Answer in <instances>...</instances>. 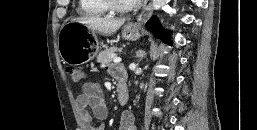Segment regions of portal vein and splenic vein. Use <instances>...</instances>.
I'll list each match as a JSON object with an SVG mask.
<instances>
[{
  "label": "portal vein and splenic vein",
  "mask_w": 257,
  "mask_h": 130,
  "mask_svg": "<svg viewBox=\"0 0 257 130\" xmlns=\"http://www.w3.org/2000/svg\"><path fill=\"white\" fill-rule=\"evenodd\" d=\"M121 60H122V59H121L120 57H114V58H113V62H114V63H119V62H121Z\"/></svg>",
  "instance_id": "portal-vein-and-splenic-vein-1"
}]
</instances>
